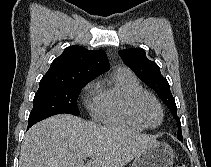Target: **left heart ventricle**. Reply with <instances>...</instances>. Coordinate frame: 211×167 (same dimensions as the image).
<instances>
[{"label": "left heart ventricle", "mask_w": 211, "mask_h": 167, "mask_svg": "<svg viewBox=\"0 0 211 167\" xmlns=\"http://www.w3.org/2000/svg\"><path fill=\"white\" fill-rule=\"evenodd\" d=\"M142 118L150 125H156L160 122L161 113L157 104L150 98H143L139 106Z\"/></svg>", "instance_id": "left-heart-ventricle-1"}]
</instances>
